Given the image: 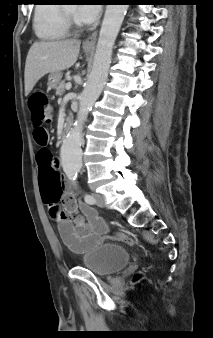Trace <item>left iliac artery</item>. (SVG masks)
<instances>
[{"instance_id":"left-iliac-artery-1","label":"left iliac artery","mask_w":213,"mask_h":338,"mask_svg":"<svg viewBox=\"0 0 213 338\" xmlns=\"http://www.w3.org/2000/svg\"><path fill=\"white\" fill-rule=\"evenodd\" d=\"M84 200L86 203L91 204V205L95 203V198L92 195L87 194V193L84 194Z\"/></svg>"}]
</instances>
